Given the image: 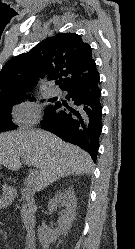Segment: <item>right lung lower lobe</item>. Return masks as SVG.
<instances>
[{
    "mask_svg": "<svg viewBox=\"0 0 135 249\" xmlns=\"http://www.w3.org/2000/svg\"><path fill=\"white\" fill-rule=\"evenodd\" d=\"M99 80L100 76L97 73L87 81L77 82L67 87L66 98L73 102L74 108L56 102L45 113V118L41 122L44 130L83 148L94 162H96L102 131Z\"/></svg>",
    "mask_w": 135,
    "mask_h": 249,
    "instance_id": "obj_1",
    "label": "right lung lower lobe"
}]
</instances>
